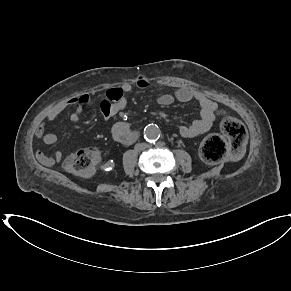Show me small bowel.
I'll list each match as a JSON object with an SVG mask.
<instances>
[{"instance_id": "1", "label": "small bowel", "mask_w": 291, "mask_h": 291, "mask_svg": "<svg viewBox=\"0 0 291 291\" xmlns=\"http://www.w3.org/2000/svg\"><path fill=\"white\" fill-rule=\"evenodd\" d=\"M135 85L139 88H148L149 79L140 75L135 80ZM133 85L129 82H124L121 85L111 87L107 90L104 99L100 103V110L105 120H109L116 116L127 104V96L132 90ZM180 102H188L194 100L200 107V117L190 124H179L178 130L183 137H195L207 132L214 124L215 120L221 116L224 111L220 109L215 101L208 98L204 93L195 90L191 87H181L176 90L174 95L162 94L158 97V103L162 106L171 105L174 100ZM90 101L88 94H82L74 97L64 103H61L52 108L43 118L41 123L35 129V136L42 139L47 145H54L58 138L53 133H45L44 126L56 120L66 109L73 108L70 114V120L75 124L81 123L82 108ZM114 139L122 144L129 145L137 139V132L130 128L125 121L116 122L112 127ZM64 154L62 151H56L53 160L60 163L63 160ZM37 158L40 162L48 164V159L41 151L37 152Z\"/></svg>"}]
</instances>
